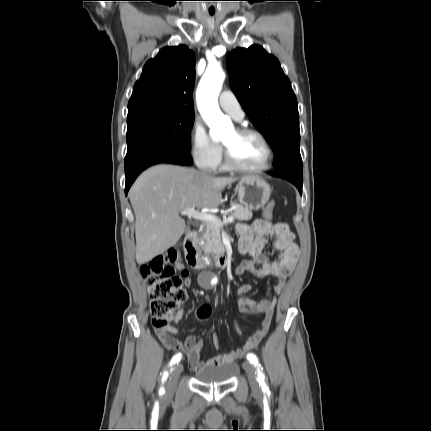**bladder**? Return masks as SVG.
I'll return each mask as SVG.
<instances>
[{
	"mask_svg": "<svg viewBox=\"0 0 431 431\" xmlns=\"http://www.w3.org/2000/svg\"><path fill=\"white\" fill-rule=\"evenodd\" d=\"M239 371V365L236 362H230L196 371L194 377L205 384H225L232 381Z\"/></svg>",
	"mask_w": 431,
	"mask_h": 431,
	"instance_id": "1",
	"label": "bladder"
}]
</instances>
